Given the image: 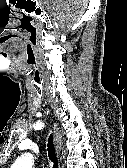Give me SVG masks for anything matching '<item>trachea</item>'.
<instances>
[{"instance_id":"1","label":"trachea","mask_w":127,"mask_h":168,"mask_svg":"<svg viewBox=\"0 0 127 168\" xmlns=\"http://www.w3.org/2000/svg\"><path fill=\"white\" fill-rule=\"evenodd\" d=\"M47 147H48V157L49 160L53 163V168H58V161L55 153L52 135H50L48 138Z\"/></svg>"}]
</instances>
